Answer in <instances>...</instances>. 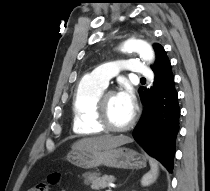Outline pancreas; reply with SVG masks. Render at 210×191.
Masks as SVG:
<instances>
[{
    "instance_id": "cf45deb5",
    "label": "pancreas",
    "mask_w": 210,
    "mask_h": 191,
    "mask_svg": "<svg viewBox=\"0 0 210 191\" xmlns=\"http://www.w3.org/2000/svg\"><path fill=\"white\" fill-rule=\"evenodd\" d=\"M84 183L91 185L93 190H99L106 188L110 183L114 182L113 176L104 175L99 177V174L96 173H86L83 175Z\"/></svg>"
}]
</instances>
